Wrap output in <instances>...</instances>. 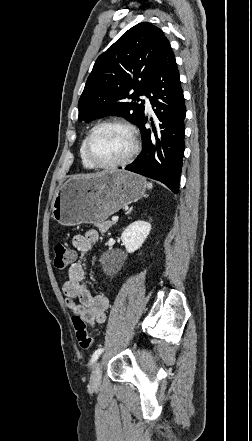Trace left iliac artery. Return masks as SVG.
<instances>
[{
    "mask_svg": "<svg viewBox=\"0 0 252 441\" xmlns=\"http://www.w3.org/2000/svg\"><path fill=\"white\" fill-rule=\"evenodd\" d=\"M102 352H103V348H99L93 353L92 358H91L92 364L99 358V356Z\"/></svg>",
    "mask_w": 252,
    "mask_h": 441,
    "instance_id": "left-iliac-artery-1",
    "label": "left iliac artery"
}]
</instances>
